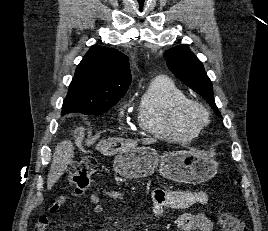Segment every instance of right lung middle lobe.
Returning a JSON list of instances; mask_svg holds the SVG:
<instances>
[{
    "instance_id": "1",
    "label": "right lung middle lobe",
    "mask_w": 268,
    "mask_h": 231,
    "mask_svg": "<svg viewBox=\"0 0 268 231\" xmlns=\"http://www.w3.org/2000/svg\"><path fill=\"white\" fill-rule=\"evenodd\" d=\"M118 101L119 99L113 100V101H105L96 105H81V104H77L74 102H69V103L63 102L61 115H64L70 112H78V113L87 114V115H100V114L107 112Z\"/></svg>"
}]
</instances>
